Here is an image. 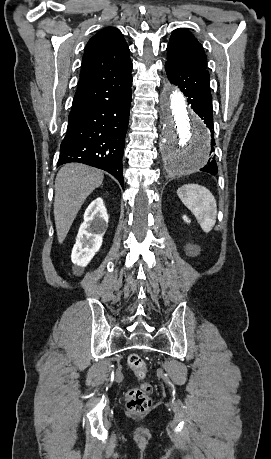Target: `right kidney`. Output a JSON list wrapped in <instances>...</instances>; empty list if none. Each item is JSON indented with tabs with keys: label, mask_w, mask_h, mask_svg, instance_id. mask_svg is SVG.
<instances>
[{
	"label": "right kidney",
	"mask_w": 271,
	"mask_h": 459,
	"mask_svg": "<svg viewBox=\"0 0 271 459\" xmlns=\"http://www.w3.org/2000/svg\"><path fill=\"white\" fill-rule=\"evenodd\" d=\"M108 214L102 198H96L85 210L84 222L81 224L73 245L71 259L75 263L73 273L81 275L84 267L99 251L103 235L108 228Z\"/></svg>",
	"instance_id": "ca27d5eb"
}]
</instances>
